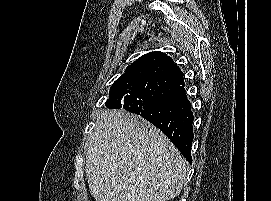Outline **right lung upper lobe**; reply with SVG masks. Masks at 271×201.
I'll list each match as a JSON object with an SVG mask.
<instances>
[{
    "mask_svg": "<svg viewBox=\"0 0 271 201\" xmlns=\"http://www.w3.org/2000/svg\"><path fill=\"white\" fill-rule=\"evenodd\" d=\"M167 56L166 54L160 52V51H154L147 53L140 58H138L136 61H134L131 65H129L126 70V72H133V71H141L151 70L152 66H154L157 62H159L162 58Z\"/></svg>",
    "mask_w": 271,
    "mask_h": 201,
    "instance_id": "right-lung-upper-lobe-1",
    "label": "right lung upper lobe"
}]
</instances>
